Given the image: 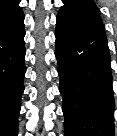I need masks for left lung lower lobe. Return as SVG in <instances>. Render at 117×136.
<instances>
[{"mask_svg": "<svg viewBox=\"0 0 117 136\" xmlns=\"http://www.w3.org/2000/svg\"><path fill=\"white\" fill-rule=\"evenodd\" d=\"M55 56L66 136H114V96L104 27L58 14Z\"/></svg>", "mask_w": 117, "mask_h": 136, "instance_id": "obj_1", "label": "left lung lower lobe"}]
</instances>
